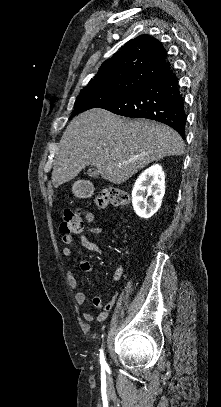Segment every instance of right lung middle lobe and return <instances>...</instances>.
<instances>
[{
	"instance_id": "obj_1",
	"label": "right lung middle lobe",
	"mask_w": 221,
	"mask_h": 407,
	"mask_svg": "<svg viewBox=\"0 0 221 407\" xmlns=\"http://www.w3.org/2000/svg\"><path fill=\"white\" fill-rule=\"evenodd\" d=\"M139 85L133 84L125 88L113 87H90L81 90L74 104V114L86 111L94 107H101L107 103L119 99Z\"/></svg>"
}]
</instances>
